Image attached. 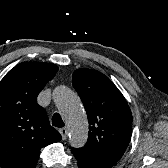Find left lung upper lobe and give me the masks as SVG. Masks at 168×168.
I'll list each match as a JSON object with an SVG mask.
<instances>
[{
  "label": "left lung upper lobe",
  "instance_id": "left-lung-upper-lobe-1",
  "mask_svg": "<svg viewBox=\"0 0 168 168\" xmlns=\"http://www.w3.org/2000/svg\"><path fill=\"white\" fill-rule=\"evenodd\" d=\"M72 84L89 122L88 141L82 149L116 164L129 145L132 133V114L126 99L107 76L95 70H75Z\"/></svg>",
  "mask_w": 168,
  "mask_h": 168
}]
</instances>
